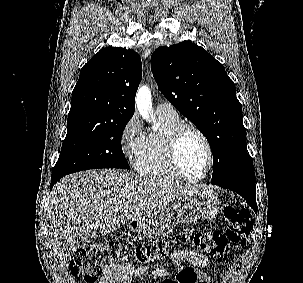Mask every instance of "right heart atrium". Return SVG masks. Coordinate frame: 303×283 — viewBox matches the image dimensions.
Returning a JSON list of instances; mask_svg holds the SVG:
<instances>
[{
  "mask_svg": "<svg viewBox=\"0 0 303 283\" xmlns=\"http://www.w3.org/2000/svg\"><path fill=\"white\" fill-rule=\"evenodd\" d=\"M145 136L139 118L136 115L131 116L120 134L121 150L127 159L132 160L137 157L143 146Z\"/></svg>",
  "mask_w": 303,
  "mask_h": 283,
  "instance_id": "right-heart-atrium-1",
  "label": "right heart atrium"
}]
</instances>
